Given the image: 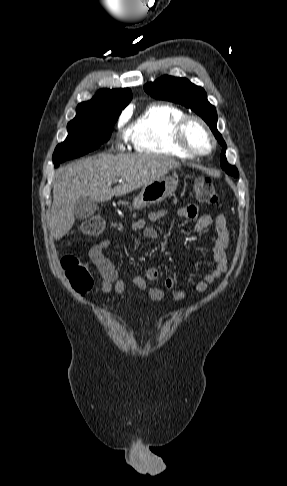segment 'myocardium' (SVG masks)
I'll list each match as a JSON object with an SVG mask.
<instances>
[{"label":"myocardium","mask_w":287,"mask_h":486,"mask_svg":"<svg viewBox=\"0 0 287 486\" xmlns=\"http://www.w3.org/2000/svg\"><path fill=\"white\" fill-rule=\"evenodd\" d=\"M192 123L198 124L209 138L210 147L208 150L198 151L189 144L187 139V130ZM175 142L184 152L193 157L207 156L211 154L216 147V139L210 128L202 118L195 115H187L179 121L175 129Z\"/></svg>","instance_id":"1"}]
</instances>
